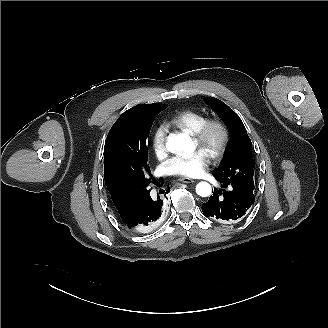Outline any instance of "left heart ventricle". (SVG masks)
I'll return each instance as SVG.
<instances>
[{
  "instance_id": "b2bd125f",
  "label": "left heart ventricle",
  "mask_w": 328,
  "mask_h": 328,
  "mask_svg": "<svg viewBox=\"0 0 328 328\" xmlns=\"http://www.w3.org/2000/svg\"><path fill=\"white\" fill-rule=\"evenodd\" d=\"M220 138H221L220 131L216 128L213 129L210 132V135H209V138H208L207 150L212 151V150L216 149L217 146L219 145ZM192 147H193V149L197 147L196 144L193 141H192ZM203 152L206 153L205 151H203ZM207 156H208V154H207Z\"/></svg>"
}]
</instances>
